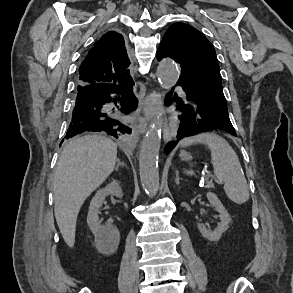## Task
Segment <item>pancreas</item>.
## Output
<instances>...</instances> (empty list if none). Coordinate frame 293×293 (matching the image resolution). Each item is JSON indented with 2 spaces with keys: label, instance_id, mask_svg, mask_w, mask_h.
I'll return each mask as SVG.
<instances>
[{
  "label": "pancreas",
  "instance_id": "obj_1",
  "mask_svg": "<svg viewBox=\"0 0 293 293\" xmlns=\"http://www.w3.org/2000/svg\"><path fill=\"white\" fill-rule=\"evenodd\" d=\"M206 188H214V184L212 182H208Z\"/></svg>",
  "mask_w": 293,
  "mask_h": 293
}]
</instances>
